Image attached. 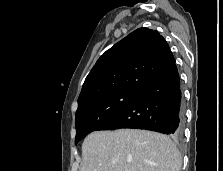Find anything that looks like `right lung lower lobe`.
<instances>
[{
	"label": "right lung lower lobe",
	"instance_id": "1",
	"mask_svg": "<svg viewBox=\"0 0 223 171\" xmlns=\"http://www.w3.org/2000/svg\"><path fill=\"white\" fill-rule=\"evenodd\" d=\"M184 110L180 78L174 64L162 76L138 92L117 115L97 130L137 128L169 134H183Z\"/></svg>",
	"mask_w": 223,
	"mask_h": 171
}]
</instances>
